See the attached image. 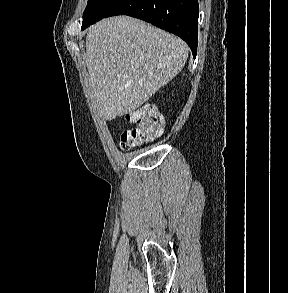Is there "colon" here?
Instances as JSON below:
<instances>
[{
  "mask_svg": "<svg viewBox=\"0 0 288 293\" xmlns=\"http://www.w3.org/2000/svg\"><path fill=\"white\" fill-rule=\"evenodd\" d=\"M126 119L134 126L121 135L120 146L124 150L140 146L162 134L163 118L153 106L144 105L127 114Z\"/></svg>",
  "mask_w": 288,
  "mask_h": 293,
  "instance_id": "1",
  "label": "colon"
}]
</instances>
